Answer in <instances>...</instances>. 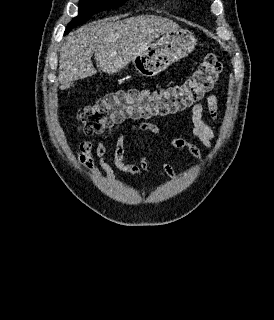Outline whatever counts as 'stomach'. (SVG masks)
<instances>
[{
	"instance_id": "1",
	"label": "stomach",
	"mask_w": 274,
	"mask_h": 320,
	"mask_svg": "<svg viewBox=\"0 0 274 320\" xmlns=\"http://www.w3.org/2000/svg\"><path fill=\"white\" fill-rule=\"evenodd\" d=\"M197 40L189 30H169L155 44H151L144 54L133 58V66L145 78H154L166 70L173 62H178L193 52Z\"/></svg>"
}]
</instances>
